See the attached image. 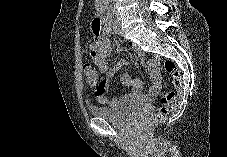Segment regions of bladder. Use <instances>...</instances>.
Here are the masks:
<instances>
[{"mask_svg": "<svg viewBox=\"0 0 227 157\" xmlns=\"http://www.w3.org/2000/svg\"><path fill=\"white\" fill-rule=\"evenodd\" d=\"M90 112L92 115L105 119L114 125L127 126L140 117L144 109L138 105H125L122 107L92 106Z\"/></svg>", "mask_w": 227, "mask_h": 157, "instance_id": "obj_1", "label": "bladder"}]
</instances>
